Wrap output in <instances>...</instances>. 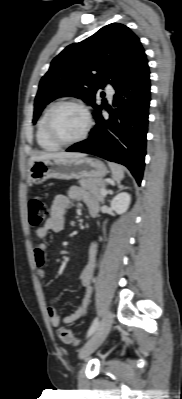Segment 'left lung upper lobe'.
<instances>
[{"label": "left lung upper lobe", "instance_id": "left-lung-upper-lobe-1", "mask_svg": "<svg viewBox=\"0 0 182 399\" xmlns=\"http://www.w3.org/2000/svg\"><path fill=\"white\" fill-rule=\"evenodd\" d=\"M147 61L139 38L125 25L112 23L79 43L67 46L51 62L39 84L33 123L49 102L65 94L91 104L96 116L107 106L95 104L100 88L110 83L115 89Z\"/></svg>", "mask_w": 182, "mask_h": 399}]
</instances>
